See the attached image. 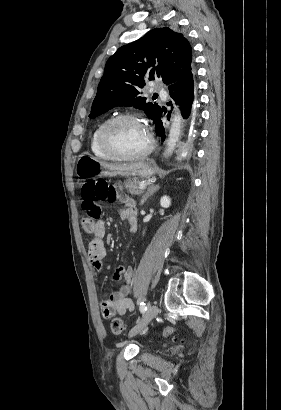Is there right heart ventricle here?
<instances>
[{
	"instance_id": "1",
	"label": "right heart ventricle",
	"mask_w": 281,
	"mask_h": 410,
	"mask_svg": "<svg viewBox=\"0 0 281 410\" xmlns=\"http://www.w3.org/2000/svg\"><path fill=\"white\" fill-rule=\"evenodd\" d=\"M108 120H109L108 118L103 119V120H101V121L96 125V127L94 128V130H93V132H92V134H91L90 142H89L90 150H91L92 154H93L94 156H96L97 158L104 159V160H110V159H112L109 155H107V154L101 149L100 144H99V134H100V131H101L102 127L105 125V123H106Z\"/></svg>"
}]
</instances>
